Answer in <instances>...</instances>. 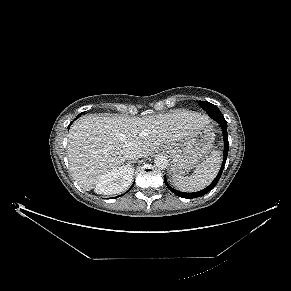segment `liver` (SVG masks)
<instances>
[{
    "mask_svg": "<svg viewBox=\"0 0 291 291\" xmlns=\"http://www.w3.org/2000/svg\"><path fill=\"white\" fill-rule=\"evenodd\" d=\"M210 119L188 110L132 118L120 115H87L78 119L68 134L67 154L73 179L85 191L98 179L126 161L125 150L137 146L147 157L160 146L192 134ZM128 186L125 187V191Z\"/></svg>",
    "mask_w": 291,
    "mask_h": 291,
    "instance_id": "6515ba94",
    "label": "liver"
}]
</instances>
